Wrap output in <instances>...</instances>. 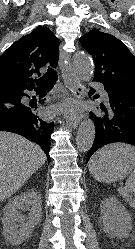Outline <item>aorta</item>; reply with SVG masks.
Listing matches in <instances>:
<instances>
[{"mask_svg":"<svg viewBox=\"0 0 135 249\" xmlns=\"http://www.w3.org/2000/svg\"><path fill=\"white\" fill-rule=\"evenodd\" d=\"M75 67L80 77L89 81L93 77V62L90 56L84 52H78L74 59ZM95 139V126L92 120L84 119L77 133V149L87 152L93 145Z\"/></svg>","mask_w":135,"mask_h":249,"instance_id":"aorta-1","label":"aorta"}]
</instances>
